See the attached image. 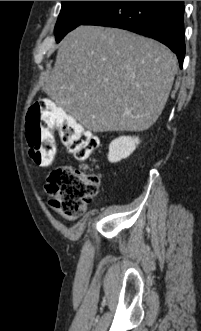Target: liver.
I'll return each instance as SVG.
<instances>
[{
    "label": "liver",
    "instance_id": "1",
    "mask_svg": "<svg viewBox=\"0 0 201 331\" xmlns=\"http://www.w3.org/2000/svg\"><path fill=\"white\" fill-rule=\"evenodd\" d=\"M176 72L177 57L156 40L79 26L62 40L43 90L88 130L140 132L161 115Z\"/></svg>",
    "mask_w": 201,
    "mask_h": 331
}]
</instances>
